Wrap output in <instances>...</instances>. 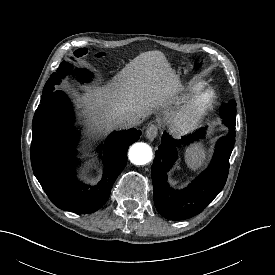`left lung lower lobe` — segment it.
Masks as SVG:
<instances>
[{
	"label": "left lung lower lobe",
	"mask_w": 275,
	"mask_h": 275,
	"mask_svg": "<svg viewBox=\"0 0 275 275\" xmlns=\"http://www.w3.org/2000/svg\"><path fill=\"white\" fill-rule=\"evenodd\" d=\"M224 123L229 132L217 142L215 154L209 167L183 190L170 188L167 183V172L177 158L176 147L199 139L203 136L205 128H201L181 140H174L167 133L163 134L151 169L154 203L163 217L176 221L195 216L224 187L229 172V158L235 143V124L225 120Z\"/></svg>",
	"instance_id": "obj_1"
}]
</instances>
